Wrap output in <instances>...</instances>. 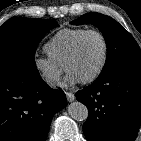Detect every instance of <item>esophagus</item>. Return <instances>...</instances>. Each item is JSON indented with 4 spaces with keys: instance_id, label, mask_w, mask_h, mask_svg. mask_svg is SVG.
I'll use <instances>...</instances> for the list:
<instances>
[{
    "instance_id": "1",
    "label": "esophagus",
    "mask_w": 141,
    "mask_h": 141,
    "mask_svg": "<svg viewBox=\"0 0 141 141\" xmlns=\"http://www.w3.org/2000/svg\"><path fill=\"white\" fill-rule=\"evenodd\" d=\"M66 97H67V100L69 102H72V101L75 100V95L73 93H71V92H66Z\"/></svg>"
}]
</instances>
